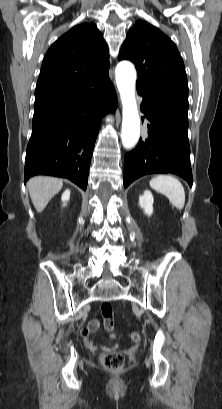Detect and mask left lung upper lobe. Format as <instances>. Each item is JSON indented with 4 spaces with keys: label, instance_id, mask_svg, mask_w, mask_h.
I'll list each match as a JSON object with an SVG mask.
<instances>
[{
    "label": "left lung upper lobe",
    "instance_id": "left-lung-upper-lobe-1",
    "mask_svg": "<svg viewBox=\"0 0 222 409\" xmlns=\"http://www.w3.org/2000/svg\"><path fill=\"white\" fill-rule=\"evenodd\" d=\"M119 60H131L137 69V91L143 97L188 103V82L175 44L158 28L137 21L122 45Z\"/></svg>",
    "mask_w": 222,
    "mask_h": 409
}]
</instances>
